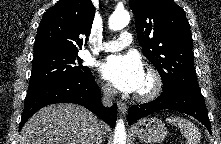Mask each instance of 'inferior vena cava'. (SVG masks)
<instances>
[{
    "mask_svg": "<svg viewBox=\"0 0 221 144\" xmlns=\"http://www.w3.org/2000/svg\"><path fill=\"white\" fill-rule=\"evenodd\" d=\"M116 89L111 85H105L102 87V103L105 106H111L113 104L114 95ZM102 141V131L100 130L99 125L96 127V130L92 136L91 144H101Z\"/></svg>",
    "mask_w": 221,
    "mask_h": 144,
    "instance_id": "obj_1",
    "label": "inferior vena cava"
}]
</instances>
